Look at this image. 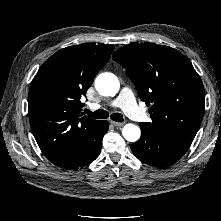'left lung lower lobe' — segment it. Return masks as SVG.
<instances>
[{
    "instance_id": "0a47b994",
    "label": "left lung lower lobe",
    "mask_w": 221,
    "mask_h": 221,
    "mask_svg": "<svg viewBox=\"0 0 221 221\" xmlns=\"http://www.w3.org/2000/svg\"><path fill=\"white\" fill-rule=\"evenodd\" d=\"M140 128L141 138L131 145V150L139 160L151 166L163 168L176 163L192 142L141 124Z\"/></svg>"
}]
</instances>
